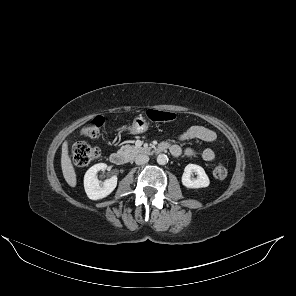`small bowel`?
Here are the masks:
<instances>
[{"mask_svg":"<svg viewBox=\"0 0 296 296\" xmlns=\"http://www.w3.org/2000/svg\"><path fill=\"white\" fill-rule=\"evenodd\" d=\"M181 142H187L191 140H200L204 142H216L217 135L214 131L204 127V126H192L188 128L185 132L180 135ZM166 145L170 152L175 155H185L188 157L200 156L205 161H214L216 159V153L210 149L206 148L202 151H197L193 148H182L177 144H170L168 142H163Z\"/></svg>","mask_w":296,"mask_h":296,"instance_id":"obj_1","label":"small bowel"}]
</instances>
